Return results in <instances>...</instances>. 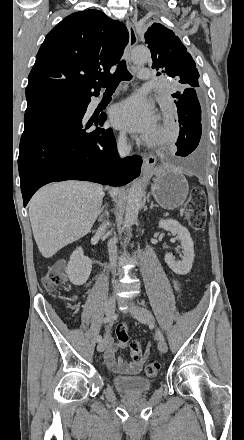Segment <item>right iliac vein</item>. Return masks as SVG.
I'll list each match as a JSON object with an SVG mask.
<instances>
[{
  "label": "right iliac vein",
  "instance_id": "63e3f726",
  "mask_svg": "<svg viewBox=\"0 0 244 440\" xmlns=\"http://www.w3.org/2000/svg\"><path fill=\"white\" fill-rule=\"evenodd\" d=\"M115 308H116V298H115V296H113L107 300L106 307H105L106 315L108 317H110V319L113 318ZM109 340H110L109 335L105 336L104 340L98 344L97 351L103 352L105 350Z\"/></svg>",
  "mask_w": 244,
  "mask_h": 440
}]
</instances>
